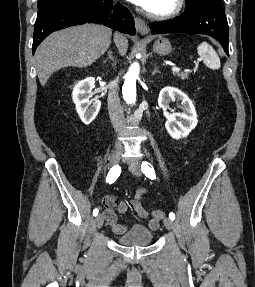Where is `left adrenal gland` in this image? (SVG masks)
I'll use <instances>...</instances> for the list:
<instances>
[{
	"mask_svg": "<svg viewBox=\"0 0 255 287\" xmlns=\"http://www.w3.org/2000/svg\"><path fill=\"white\" fill-rule=\"evenodd\" d=\"M156 72H158V66H155V70H154V72H152V76H154V74H156Z\"/></svg>",
	"mask_w": 255,
	"mask_h": 287,
	"instance_id": "obj_1",
	"label": "left adrenal gland"
}]
</instances>
